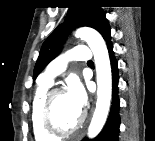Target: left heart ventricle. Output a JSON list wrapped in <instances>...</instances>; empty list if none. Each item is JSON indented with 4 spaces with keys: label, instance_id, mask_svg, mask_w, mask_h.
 <instances>
[{
    "label": "left heart ventricle",
    "instance_id": "1",
    "mask_svg": "<svg viewBox=\"0 0 155 141\" xmlns=\"http://www.w3.org/2000/svg\"><path fill=\"white\" fill-rule=\"evenodd\" d=\"M81 114L73 107L66 93L57 95L53 100L52 118L54 122L63 129L74 127Z\"/></svg>",
    "mask_w": 155,
    "mask_h": 141
}]
</instances>
